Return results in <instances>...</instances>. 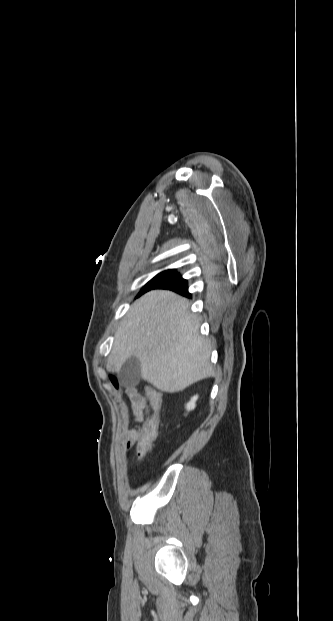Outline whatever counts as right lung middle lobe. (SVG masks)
I'll use <instances>...</instances> for the list:
<instances>
[{
    "label": "right lung middle lobe",
    "mask_w": 333,
    "mask_h": 621,
    "mask_svg": "<svg viewBox=\"0 0 333 621\" xmlns=\"http://www.w3.org/2000/svg\"><path fill=\"white\" fill-rule=\"evenodd\" d=\"M175 270H166L163 271L161 273H159L158 275H156L152 280H150L141 290V292L138 294V296H140L141 294L145 293L146 291L150 290L156 283H158L162 278L171 275L172 273H174Z\"/></svg>",
    "instance_id": "dd1d6c3e"
}]
</instances>
